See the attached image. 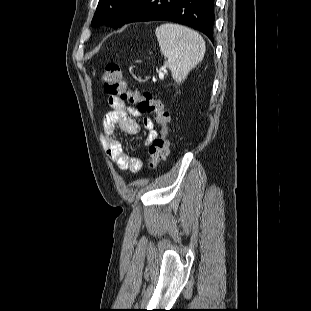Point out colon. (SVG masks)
I'll use <instances>...</instances> for the list:
<instances>
[{
	"label": "colon",
	"instance_id": "1",
	"mask_svg": "<svg viewBox=\"0 0 311 311\" xmlns=\"http://www.w3.org/2000/svg\"><path fill=\"white\" fill-rule=\"evenodd\" d=\"M104 92L108 98H117L128 101L137 106L140 113H151L156 123L160 126V134L149 147L148 167L155 169L169 152L168 124L170 113L163 104L149 92L139 93L128 87L121 67L117 63H108L101 76Z\"/></svg>",
	"mask_w": 311,
	"mask_h": 311
}]
</instances>
